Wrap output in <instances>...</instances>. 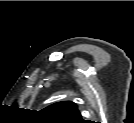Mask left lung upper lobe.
Masks as SVG:
<instances>
[{"mask_svg": "<svg viewBox=\"0 0 134 123\" xmlns=\"http://www.w3.org/2000/svg\"><path fill=\"white\" fill-rule=\"evenodd\" d=\"M44 114L52 119L68 122L82 123L83 119L77 109V105L71 101H62L54 103L42 110Z\"/></svg>", "mask_w": 134, "mask_h": 123, "instance_id": "1", "label": "left lung upper lobe"}]
</instances>
